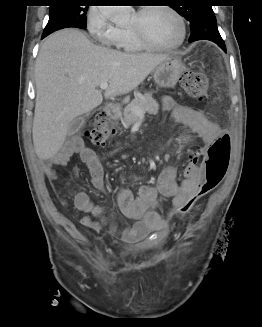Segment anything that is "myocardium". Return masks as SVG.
Wrapping results in <instances>:
<instances>
[{
  "label": "myocardium",
  "instance_id": "f54148a6",
  "mask_svg": "<svg viewBox=\"0 0 262 327\" xmlns=\"http://www.w3.org/2000/svg\"><path fill=\"white\" fill-rule=\"evenodd\" d=\"M157 8L167 10L179 22L180 37L175 43L169 44V45L157 44V43L153 42L139 27H128L129 30L133 33V35L138 40V42L147 49L157 50V51H169V50H174V49L179 48L186 39L187 26H186L184 17L174 7L167 5V4L144 6V7L139 8L136 11V14L138 16H141L145 12L152 10V9H157Z\"/></svg>",
  "mask_w": 262,
  "mask_h": 327
}]
</instances>
